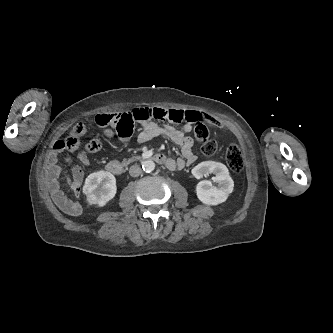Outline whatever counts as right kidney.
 Wrapping results in <instances>:
<instances>
[{
	"label": "right kidney",
	"mask_w": 333,
	"mask_h": 333,
	"mask_svg": "<svg viewBox=\"0 0 333 333\" xmlns=\"http://www.w3.org/2000/svg\"><path fill=\"white\" fill-rule=\"evenodd\" d=\"M117 191L116 179L113 174L107 171H98L90 174L84 183L83 193L89 204H96L99 207L105 206Z\"/></svg>",
	"instance_id": "ca27d5eb"
}]
</instances>
